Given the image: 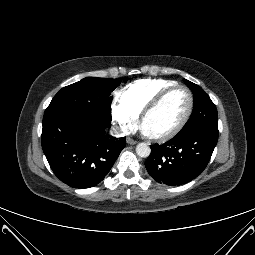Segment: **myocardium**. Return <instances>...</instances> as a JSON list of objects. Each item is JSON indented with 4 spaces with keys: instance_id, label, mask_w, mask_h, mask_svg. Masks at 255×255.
<instances>
[{
    "instance_id": "1",
    "label": "myocardium",
    "mask_w": 255,
    "mask_h": 255,
    "mask_svg": "<svg viewBox=\"0 0 255 255\" xmlns=\"http://www.w3.org/2000/svg\"><path fill=\"white\" fill-rule=\"evenodd\" d=\"M178 89H183L187 92L188 94V98H189V104H188V108L187 111L184 115V117L182 118V120L170 131L162 133V134H150V137L154 140L157 141H165L168 140L172 137H174L175 135H177L183 128L184 126L187 124L188 120L190 119L192 112H193V108H194V96L192 91L190 90V88H188L185 85H181V84H176L173 85L171 87L166 88L165 90L161 91L142 111L141 114V124L142 126H144L145 120L146 118L154 111L156 110L159 105L163 102V100L173 91L178 90Z\"/></svg>"
}]
</instances>
